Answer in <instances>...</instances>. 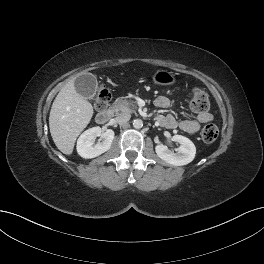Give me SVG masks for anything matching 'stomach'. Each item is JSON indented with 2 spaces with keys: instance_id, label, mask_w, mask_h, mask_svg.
<instances>
[{
  "instance_id": "stomach-1",
  "label": "stomach",
  "mask_w": 264,
  "mask_h": 264,
  "mask_svg": "<svg viewBox=\"0 0 264 264\" xmlns=\"http://www.w3.org/2000/svg\"><path fill=\"white\" fill-rule=\"evenodd\" d=\"M153 82L157 85L171 86L176 82L175 75L168 70H158L152 76Z\"/></svg>"
}]
</instances>
